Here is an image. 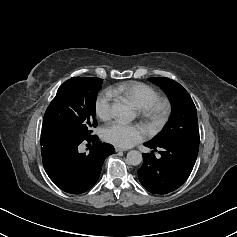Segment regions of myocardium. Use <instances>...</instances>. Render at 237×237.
Returning a JSON list of instances; mask_svg holds the SVG:
<instances>
[{
  "instance_id": "1",
  "label": "myocardium",
  "mask_w": 237,
  "mask_h": 237,
  "mask_svg": "<svg viewBox=\"0 0 237 237\" xmlns=\"http://www.w3.org/2000/svg\"><path fill=\"white\" fill-rule=\"evenodd\" d=\"M144 118L154 126L163 124L171 113V104L167 99L156 98L141 109Z\"/></svg>"
}]
</instances>
